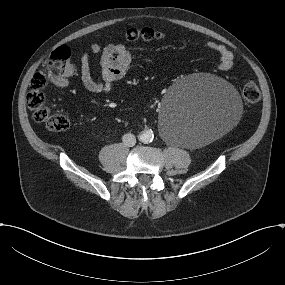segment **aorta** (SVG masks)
<instances>
[{
	"mask_svg": "<svg viewBox=\"0 0 285 285\" xmlns=\"http://www.w3.org/2000/svg\"><path fill=\"white\" fill-rule=\"evenodd\" d=\"M140 141L143 143H149L152 142L154 139V133L152 130H144L140 136H139Z\"/></svg>",
	"mask_w": 285,
	"mask_h": 285,
	"instance_id": "obj_1",
	"label": "aorta"
}]
</instances>
